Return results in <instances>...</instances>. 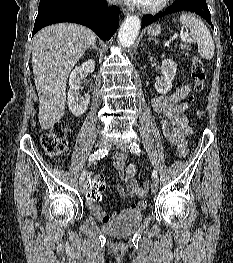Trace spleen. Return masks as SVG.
I'll return each mask as SVG.
<instances>
[{
	"label": "spleen",
	"instance_id": "1",
	"mask_svg": "<svg viewBox=\"0 0 233 263\" xmlns=\"http://www.w3.org/2000/svg\"><path fill=\"white\" fill-rule=\"evenodd\" d=\"M178 20L190 29L192 40L198 44L199 55L207 60L212 59L215 45L206 25L191 13H182Z\"/></svg>",
	"mask_w": 233,
	"mask_h": 263
}]
</instances>
